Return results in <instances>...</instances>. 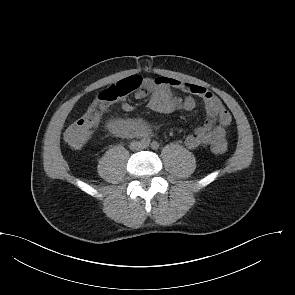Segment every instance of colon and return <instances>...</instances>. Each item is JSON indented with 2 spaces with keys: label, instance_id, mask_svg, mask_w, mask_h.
I'll list each match as a JSON object with an SVG mask.
<instances>
[{
  "label": "colon",
  "instance_id": "1",
  "mask_svg": "<svg viewBox=\"0 0 295 295\" xmlns=\"http://www.w3.org/2000/svg\"><path fill=\"white\" fill-rule=\"evenodd\" d=\"M143 79L134 75L109 86L101 91L89 105L85 113L67 127L64 132L66 143L73 148L82 147L90 138L100 115L110 105L120 101L131 92L138 91ZM227 143L219 142L212 146V151L223 154L227 151Z\"/></svg>",
  "mask_w": 295,
  "mask_h": 295
}]
</instances>
